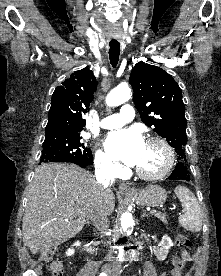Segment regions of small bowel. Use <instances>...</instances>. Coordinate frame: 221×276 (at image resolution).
Segmentation results:
<instances>
[{
    "mask_svg": "<svg viewBox=\"0 0 221 276\" xmlns=\"http://www.w3.org/2000/svg\"><path fill=\"white\" fill-rule=\"evenodd\" d=\"M191 261V256L188 252L182 251L180 255L175 256L172 260L173 269L171 271L172 276H183L182 269L186 262Z\"/></svg>",
    "mask_w": 221,
    "mask_h": 276,
    "instance_id": "c3829d8e",
    "label": "small bowel"
}]
</instances>
